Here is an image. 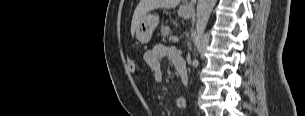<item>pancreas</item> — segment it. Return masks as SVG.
<instances>
[{
	"instance_id": "1",
	"label": "pancreas",
	"mask_w": 305,
	"mask_h": 116,
	"mask_svg": "<svg viewBox=\"0 0 305 116\" xmlns=\"http://www.w3.org/2000/svg\"><path fill=\"white\" fill-rule=\"evenodd\" d=\"M172 31L170 30L169 26H162L161 27V37L163 41L167 39H170Z\"/></svg>"
}]
</instances>
